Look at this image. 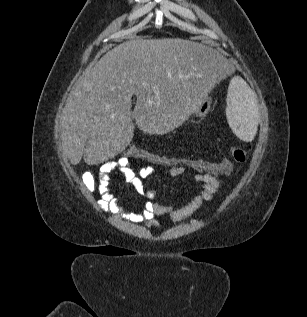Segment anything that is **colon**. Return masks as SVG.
<instances>
[{
  "mask_svg": "<svg viewBox=\"0 0 307 317\" xmlns=\"http://www.w3.org/2000/svg\"><path fill=\"white\" fill-rule=\"evenodd\" d=\"M229 157L230 159H224L220 162H211L204 159L171 157L154 153L135 145H126L118 154V159H123L131 163L132 161H140L155 168L186 167L195 172L210 174L220 178L231 173L233 167L232 161L244 163L247 161L248 155L244 149L234 146L229 149ZM82 180L89 191L94 190L97 186V179L90 172L85 173L82 176Z\"/></svg>",
  "mask_w": 307,
  "mask_h": 317,
  "instance_id": "obj_1",
  "label": "colon"
}]
</instances>
